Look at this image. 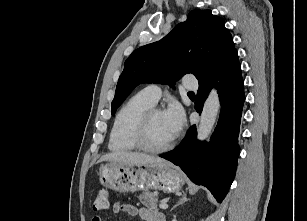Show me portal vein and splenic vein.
Here are the masks:
<instances>
[{"instance_id": "18ae733b", "label": "portal vein and splenic vein", "mask_w": 307, "mask_h": 221, "mask_svg": "<svg viewBox=\"0 0 307 221\" xmlns=\"http://www.w3.org/2000/svg\"><path fill=\"white\" fill-rule=\"evenodd\" d=\"M159 207H160L161 209L165 210V209L168 208V205H167L165 202H161V203L159 204Z\"/></svg>"}]
</instances>
